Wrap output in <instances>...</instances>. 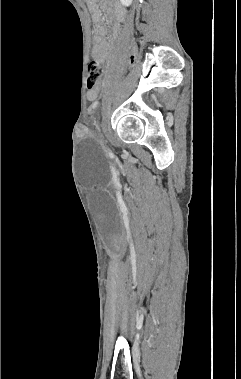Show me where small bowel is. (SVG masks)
<instances>
[{"label":"small bowel","mask_w":241,"mask_h":379,"mask_svg":"<svg viewBox=\"0 0 241 379\" xmlns=\"http://www.w3.org/2000/svg\"><path fill=\"white\" fill-rule=\"evenodd\" d=\"M104 6L108 9V11L116 13L118 17L122 16V12L114 4L113 0H105ZM92 9L95 17L98 18L99 12L97 7L94 5ZM108 47L109 42L106 38V30L101 25H97V27L95 28V34L93 38V57L98 62L104 63L108 58ZM87 98L90 101H94L97 98L96 89H89L87 92Z\"/></svg>","instance_id":"obj_1"}]
</instances>
